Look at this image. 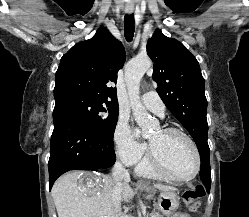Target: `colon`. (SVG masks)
I'll return each mask as SVG.
<instances>
[{
  "label": "colon",
  "instance_id": "obj_1",
  "mask_svg": "<svg viewBox=\"0 0 249 217\" xmlns=\"http://www.w3.org/2000/svg\"><path fill=\"white\" fill-rule=\"evenodd\" d=\"M204 195V190L202 187H193L187 189L183 193V200L188 206L189 210L196 212L200 206V199Z\"/></svg>",
  "mask_w": 249,
  "mask_h": 217
}]
</instances>
